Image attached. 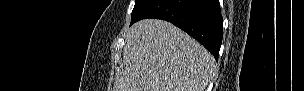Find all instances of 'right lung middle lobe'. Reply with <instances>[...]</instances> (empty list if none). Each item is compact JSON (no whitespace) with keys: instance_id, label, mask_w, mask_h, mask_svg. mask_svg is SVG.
I'll return each instance as SVG.
<instances>
[{"instance_id":"dd1d6c3e","label":"right lung middle lobe","mask_w":304,"mask_h":91,"mask_svg":"<svg viewBox=\"0 0 304 91\" xmlns=\"http://www.w3.org/2000/svg\"><path fill=\"white\" fill-rule=\"evenodd\" d=\"M150 2V0H136L135 1V6L133 8L132 11V18H131V22H133L138 15L140 14V12L142 11V9Z\"/></svg>"}]
</instances>
